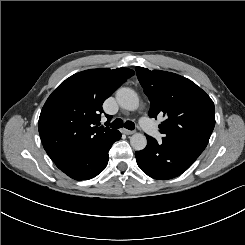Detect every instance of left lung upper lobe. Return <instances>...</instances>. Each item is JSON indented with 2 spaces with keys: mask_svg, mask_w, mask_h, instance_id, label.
Masks as SVG:
<instances>
[{
  "mask_svg": "<svg viewBox=\"0 0 245 245\" xmlns=\"http://www.w3.org/2000/svg\"><path fill=\"white\" fill-rule=\"evenodd\" d=\"M136 72L151 103L149 116H166L159 125L163 139L200 155L215 126V108L210 97L195 83L175 73L143 67H136Z\"/></svg>",
  "mask_w": 245,
  "mask_h": 245,
  "instance_id": "left-lung-upper-lobe-1",
  "label": "left lung upper lobe"
}]
</instances>
